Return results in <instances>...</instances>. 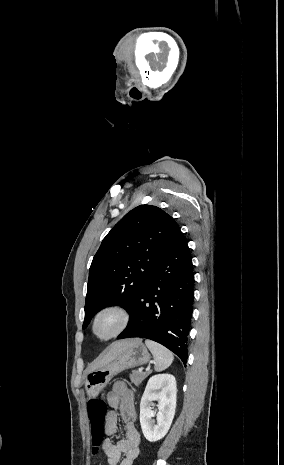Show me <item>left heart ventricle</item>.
Instances as JSON below:
<instances>
[{"label": "left heart ventricle", "mask_w": 284, "mask_h": 465, "mask_svg": "<svg viewBox=\"0 0 284 465\" xmlns=\"http://www.w3.org/2000/svg\"><path fill=\"white\" fill-rule=\"evenodd\" d=\"M118 325L117 318L112 314L102 316L96 327V334L99 336H106L112 333Z\"/></svg>", "instance_id": "left-heart-ventricle-1"}]
</instances>
